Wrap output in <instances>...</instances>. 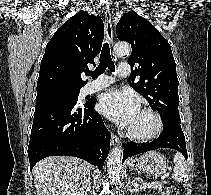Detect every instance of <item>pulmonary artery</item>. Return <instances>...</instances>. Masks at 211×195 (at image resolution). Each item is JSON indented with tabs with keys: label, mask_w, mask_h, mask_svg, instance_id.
Instances as JSON below:
<instances>
[{
	"label": "pulmonary artery",
	"mask_w": 211,
	"mask_h": 195,
	"mask_svg": "<svg viewBox=\"0 0 211 195\" xmlns=\"http://www.w3.org/2000/svg\"><path fill=\"white\" fill-rule=\"evenodd\" d=\"M130 72V66L127 63H121L118 66V74L120 77H126ZM114 82L110 76L102 75L86 85V92L93 93L103 88L108 87Z\"/></svg>",
	"instance_id": "1"
}]
</instances>
